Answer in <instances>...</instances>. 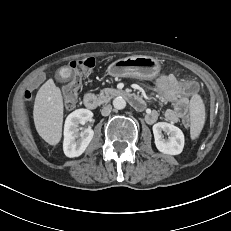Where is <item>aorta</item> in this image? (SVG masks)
Listing matches in <instances>:
<instances>
[{"label": "aorta", "mask_w": 231, "mask_h": 231, "mask_svg": "<svg viewBox=\"0 0 231 231\" xmlns=\"http://www.w3.org/2000/svg\"><path fill=\"white\" fill-rule=\"evenodd\" d=\"M113 106L115 109L122 110L126 107V101L123 97L118 96L113 100Z\"/></svg>", "instance_id": "762f6f07"}]
</instances>
